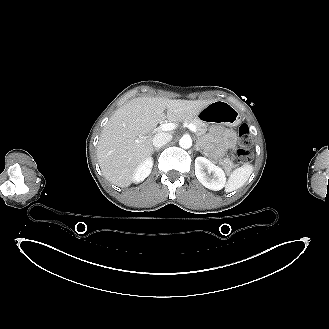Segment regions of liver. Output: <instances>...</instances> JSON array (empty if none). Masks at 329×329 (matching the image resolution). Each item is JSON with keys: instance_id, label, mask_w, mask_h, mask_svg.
I'll return each instance as SVG.
<instances>
[{"instance_id": "1", "label": "liver", "mask_w": 329, "mask_h": 329, "mask_svg": "<svg viewBox=\"0 0 329 329\" xmlns=\"http://www.w3.org/2000/svg\"><path fill=\"white\" fill-rule=\"evenodd\" d=\"M214 101L157 97L128 101L110 118L98 142L97 157L104 177L122 188L131 185L136 169L152 154V139L147 135L158 123L196 118Z\"/></svg>"}]
</instances>
